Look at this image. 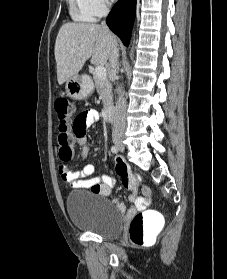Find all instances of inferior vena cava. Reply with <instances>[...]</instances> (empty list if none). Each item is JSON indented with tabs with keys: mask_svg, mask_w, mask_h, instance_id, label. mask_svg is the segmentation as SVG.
<instances>
[{
	"mask_svg": "<svg viewBox=\"0 0 227 279\" xmlns=\"http://www.w3.org/2000/svg\"><path fill=\"white\" fill-rule=\"evenodd\" d=\"M102 26H105V22H102ZM118 57H119V51L117 49V46L113 45L109 57V63H110V67L114 71V74L116 73V68L118 66ZM125 126H126V100L121 94L118 97L115 106V114H114V121H113V130H112L113 137L122 135L124 133Z\"/></svg>",
	"mask_w": 227,
	"mask_h": 279,
	"instance_id": "602c4592",
	"label": "inferior vena cava"
}]
</instances>
